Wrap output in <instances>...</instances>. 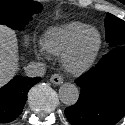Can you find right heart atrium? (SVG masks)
I'll use <instances>...</instances> for the list:
<instances>
[{
	"mask_svg": "<svg viewBox=\"0 0 125 125\" xmlns=\"http://www.w3.org/2000/svg\"><path fill=\"white\" fill-rule=\"evenodd\" d=\"M35 51H36V54L39 56V57H48V52L43 44L42 41H38L36 42V45H35Z\"/></svg>",
	"mask_w": 125,
	"mask_h": 125,
	"instance_id": "right-heart-atrium-1",
	"label": "right heart atrium"
}]
</instances>
